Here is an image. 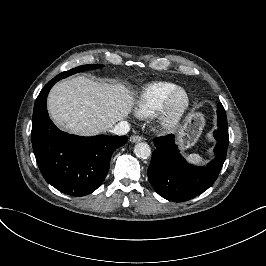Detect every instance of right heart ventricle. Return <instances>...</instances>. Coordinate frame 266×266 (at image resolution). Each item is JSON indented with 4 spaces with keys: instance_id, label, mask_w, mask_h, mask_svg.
I'll use <instances>...</instances> for the list:
<instances>
[{
    "instance_id": "e07e8e85",
    "label": "right heart ventricle",
    "mask_w": 266,
    "mask_h": 266,
    "mask_svg": "<svg viewBox=\"0 0 266 266\" xmlns=\"http://www.w3.org/2000/svg\"><path fill=\"white\" fill-rule=\"evenodd\" d=\"M178 87L180 85L176 82L167 80H158L146 84L134 101L133 110L135 115L141 119L153 117L166 98Z\"/></svg>"
}]
</instances>
